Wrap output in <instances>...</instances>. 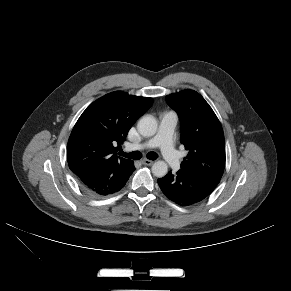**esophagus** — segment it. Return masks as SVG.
Returning a JSON list of instances; mask_svg holds the SVG:
<instances>
[{"label": "esophagus", "instance_id": "esophagus-1", "mask_svg": "<svg viewBox=\"0 0 291 291\" xmlns=\"http://www.w3.org/2000/svg\"><path fill=\"white\" fill-rule=\"evenodd\" d=\"M154 162L152 160H149V159H143L142 160V164L143 165H147V166H150L152 165Z\"/></svg>", "mask_w": 291, "mask_h": 291}]
</instances>
